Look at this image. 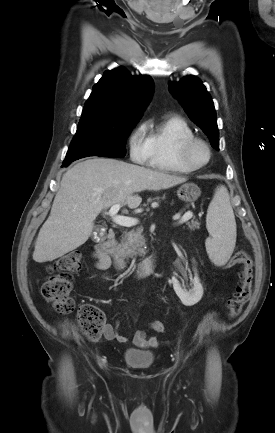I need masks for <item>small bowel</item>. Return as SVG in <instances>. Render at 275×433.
I'll return each instance as SVG.
<instances>
[{
	"instance_id": "1",
	"label": "small bowel",
	"mask_w": 275,
	"mask_h": 433,
	"mask_svg": "<svg viewBox=\"0 0 275 433\" xmlns=\"http://www.w3.org/2000/svg\"><path fill=\"white\" fill-rule=\"evenodd\" d=\"M96 259V266L100 270H105L110 266V261L99 254L97 251L93 253ZM104 337L107 340H116L120 343H127L128 338L120 334L111 324H105L103 327ZM133 344L141 348H156L159 345L158 340L153 336H148L143 331H138L133 337Z\"/></svg>"
}]
</instances>
